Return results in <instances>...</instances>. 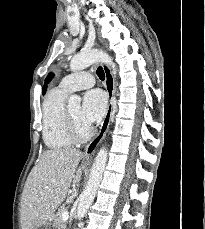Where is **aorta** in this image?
Segmentation results:
<instances>
[{"instance_id": "762f6f07", "label": "aorta", "mask_w": 205, "mask_h": 229, "mask_svg": "<svg viewBox=\"0 0 205 229\" xmlns=\"http://www.w3.org/2000/svg\"><path fill=\"white\" fill-rule=\"evenodd\" d=\"M97 62L107 64L113 69V72L116 73V65L112 61L111 57L107 53L98 49L83 51L77 55H74L70 61V69L71 71H80ZM80 102L81 98L78 95H72L68 100L69 105L79 106ZM107 156L108 153L106 148L102 147L95 157L87 185L79 197L77 210L78 220H81L85 216L88 208L95 198L98 187L102 181L107 163Z\"/></svg>"}]
</instances>
